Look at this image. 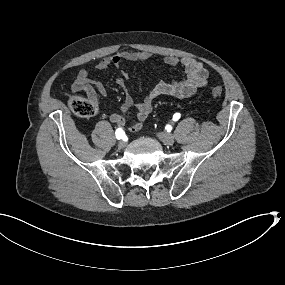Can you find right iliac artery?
<instances>
[{"label":"right iliac artery","mask_w":285,"mask_h":285,"mask_svg":"<svg viewBox=\"0 0 285 285\" xmlns=\"http://www.w3.org/2000/svg\"><path fill=\"white\" fill-rule=\"evenodd\" d=\"M115 135L117 139H122L125 136V132L122 128H118L115 132Z\"/></svg>","instance_id":"right-iliac-artery-1"}]
</instances>
